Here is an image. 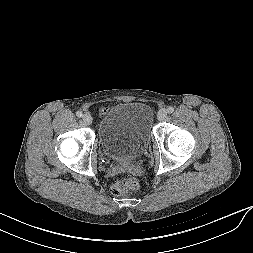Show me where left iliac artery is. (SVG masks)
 Instances as JSON below:
<instances>
[{
	"mask_svg": "<svg viewBox=\"0 0 253 253\" xmlns=\"http://www.w3.org/2000/svg\"><path fill=\"white\" fill-rule=\"evenodd\" d=\"M167 112H168V113H173V112H174V108H173L172 106H169V107L167 108Z\"/></svg>",
	"mask_w": 253,
	"mask_h": 253,
	"instance_id": "obj_1",
	"label": "left iliac artery"
}]
</instances>
